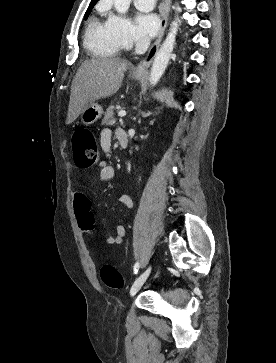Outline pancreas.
I'll use <instances>...</instances> for the list:
<instances>
[{
  "label": "pancreas",
  "instance_id": "1",
  "mask_svg": "<svg viewBox=\"0 0 276 363\" xmlns=\"http://www.w3.org/2000/svg\"><path fill=\"white\" fill-rule=\"evenodd\" d=\"M116 122V119L114 117V107L110 106L107 108L104 118L102 120L103 125H113Z\"/></svg>",
  "mask_w": 276,
  "mask_h": 363
}]
</instances>
